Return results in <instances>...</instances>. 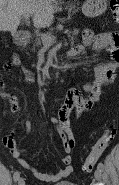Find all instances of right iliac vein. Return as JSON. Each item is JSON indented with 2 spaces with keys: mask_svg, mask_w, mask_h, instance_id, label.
<instances>
[{
  "mask_svg": "<svg viewBox=\"0 0 119 185\" xmlns=\"http://www.w3.org/2000/svg\"><path fill=\"white\" fill-rule=\"evenodd\" d=\"M18 185H25V180L23 178H19Z\"/></svg>",
  "mask_w": 119,
  "mask_h": 185,
  "instance_id": "obj_1",
  "label": "right iliac vein"
}]
</instances>
